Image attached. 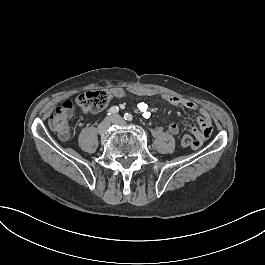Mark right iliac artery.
I'll return each instance as SVG.
<instances>
[{
	"mask_svg": "<svg viewBox=\"0 0 265 265\" xmlns=\"http://www.w3.org/2000/svg\"><path fill=\"white\" fill-rule=\"evenodd\" d=\"M119 108L117 106H112L108 111H107V116L114 115L118 113Z\"/></svg>",
	"mask_w": 265,
	"mask_h": 265,
	"instance_id": "right-iliac-artery-1",
	"label": "right iliac artery"
}]
</instances>
